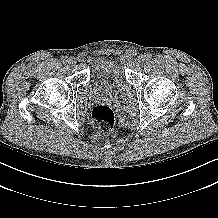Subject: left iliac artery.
Masks as SVG:
<instances>
[{"mask_svg": "<svg viewBox=\"0 0 218 218\" xmlns=\"http://www.w3.org/2000/svg\"><path fill=\"white\" fill-rule=\"evenodd\" d=\"M145 57H146V60H150L152 58V54L146 53Z\"/></svg>", "mask_w": 218, "mask_h": 218, "instance_id": "obj_1", "label": "left iliac artery"}]
</instances>
